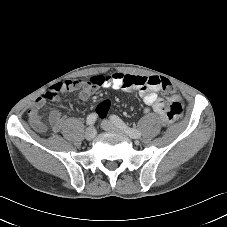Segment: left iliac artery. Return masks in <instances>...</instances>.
<instances>
[{"mask_svg":"<svg viewBox=\"0 0 227 227\" xmlns=\"http://www.w3.org/2000/svg\"><path fill=\"white\" fill-rule=\"evenodd\" d=\"M111 121L116 124L120 129L124 130L132 138H140L141 132L137 129L128 127L118 116H110Z\"/></svg>","mask_w":227,"mask_h":227,"instance_id":"44dca946","label":"left iliac artery"}]
</instances>
